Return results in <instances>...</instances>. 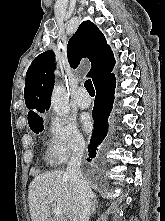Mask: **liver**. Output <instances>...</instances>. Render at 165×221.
<instances>
[{"instance_id":"liver-1","label":"liver","mask_w":165,"mask_h":221,"mask_svg":"<svg viewBox=\"0 0 165 221\" xmlns=\"http://www.w3.org/2000/svg\"><path fill=\"white\" fill-rule=\"evenodd\" d=\"M49 197L64 216L72 218L74 191L69 176L63 170L41 173L34 177L28 189V204L32 221H49Z\"/></svg>"}]
</instances>
